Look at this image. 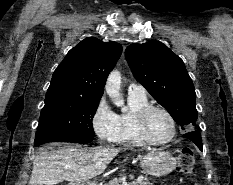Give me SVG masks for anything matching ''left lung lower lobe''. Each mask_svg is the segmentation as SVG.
Segmentation results:
<instances>
[{"mask_svg": "<svg viewBox=\"0 0 233 185\" xmlns=\"http://www.w3.org/2000/svg\"><path fill=\"white\" fill-rule=\"evenodd\" d=\"M183 137L188 138L191 141H193L197 145V147L201 151H203V145H202L201 135H200L199 132H196V131L189 132V133L184 134Z\"/></svg>", "mask_w": 233, "mask_h": 185, "instance_id": "left-lung-lower-lobe-1", "label": "left lung lower lobe"}]
</instances>
